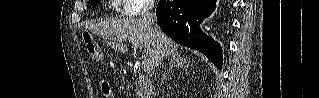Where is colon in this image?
<instances>
[{"mask_svg": "<svg viewBox=\"0 0 319 98\" xmlns=\"http://www.w3.org/2000/svg\"><path fill=\"white\" fill-rule=\"evenodd\" d=\"M83 42H84L85 51L92 60L94 61L102 60L103 54L89 32L83 33ZM102 89L106 95L110 94V89L107 84L103 83Z\"/></svg>", "mask_w": 319, "mask_h": 98, "instance_id": "5ec220e1", "label": "colon"}]
</instances>
